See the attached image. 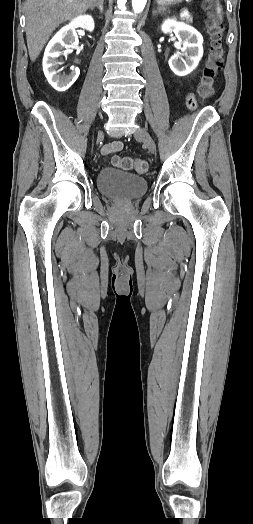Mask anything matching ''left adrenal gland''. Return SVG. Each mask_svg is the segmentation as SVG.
<instances>
[{"instance_id":"obj_1","label":"left adrenal gland","mask_w":253,"mask_h":524,"mask_svg":"<svg viewBox=\"0 0 253 524\" xmlns=\"http://www.w3.org/2000/svg\"><path fill=\"white\" fill-rule=\"evenodd\" d=\"M157 12H160L159 8L157 10H153V15L157 14Z\"/></svg>"}]
</instances>
